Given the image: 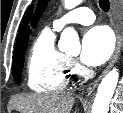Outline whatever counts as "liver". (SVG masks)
I'll return each instance as SVG.
<instances>
[{
	"mask_svg": "<svg viewBox=\"0 0 123 113\" xmlns=\"http://www.w3.org/2000/svg\"><path fill=\"white\" fill-rule=\"evenodd\" d=\"M74 101L71 93L34 94L14 97L11 107L20 113H70Z\"/></svg>",
	"mask_w": 123,
	"mask_h": 113,
	"instance_id": "6515ba94",
	"label": "liver"
}]
</instances>
